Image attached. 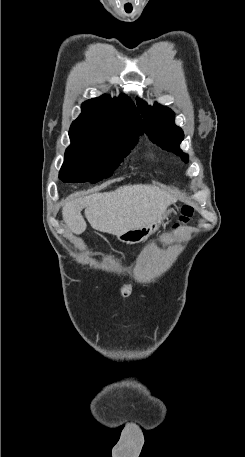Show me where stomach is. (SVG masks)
<instances>
[{
    "label": "stomach",
    "instance_id": "obj_1",
    "mask_svg": "<svg viewBox=\"0 0 245 457\" xmlns=\"http://www.w3.org/2000/svg\"><path fill=\"white\" fill-rule=\"evenodd\" d=\"M172 210L173 208L167 206L165 212H163L162 216H160L158 220L149 222V224H143V226H140V229H128V231L118 233V235H116L118 241H120V243H126V245H136V243L146 241L150 235H153L155 231H158L160 224H167L164 220H167Z\"/></svg>",
    "mask_w": 245,
    "mask_h": 457
}]
</instances>
